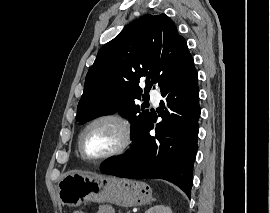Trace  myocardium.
Wrapping results in <instances>:
<instances>
[{"mask_svg":"<svg viewBox=\"0 0 270 213\" xmlns=\"http://www.w3.org/2000/svg\"><path fill=\"white\" fill-rule=\"evenodd\" d=\"M99 122H113V123L117 124L122 130L123 137H122V142L120 143V145L118 147H116L114 150H112L111 152H109L101 157L93 158V157L88 156L86 154V152L84 151L83 139H84L86 132L93 125H95ZM130 143H131V128H130L129 122L125 118H123L122 116H120L118 114L107 113V114H101V115L94 117L83 127V129L81 130L79 137H78V150H79V153L82 156V158L85 159L86 161H89L92 163H100V162L115 158V157L123 154L127 150V148L129 147Z\"/></svg>","mask_w":270,"mask_h":213,"instance_id":"myocardium-1","label":"myocardium"}]
</instances>
